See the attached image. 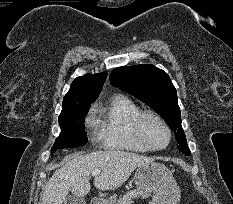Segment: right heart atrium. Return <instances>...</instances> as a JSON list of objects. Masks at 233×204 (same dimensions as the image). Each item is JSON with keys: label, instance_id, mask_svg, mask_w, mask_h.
Returning <instances> with one entry per match:
<instances>
[{"label": "right heart atrium", "instance_id": "d8ad5b80", "mask_svg": "<svg viewBox=\"0 0 233 204\" xmlns=\"http://www.w3.org/2000/svg\"><path fill=\"white\" fill-rule=\"evenodd\" d=\"M93 119H92V116L91 115H89L88 117H87V119H86V125L88 126V127H91L92 125H93Z\"/></svg>", "mask_w": 233, "mask_h": 204}]
</instances>
